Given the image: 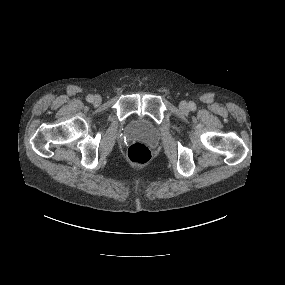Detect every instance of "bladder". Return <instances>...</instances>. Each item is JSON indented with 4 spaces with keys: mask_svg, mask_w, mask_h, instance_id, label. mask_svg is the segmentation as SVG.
Returning a JSON list of instances; mask_svg holds the SVG:
<instances>
[{
    "mask_svg": "<svg viewBox=\"0 0 285 285\" xmlns=\"http://www.w3.org/2000/svg\"><path fill=\"white\" fill-rule=\"evenodd\" d=\"M135 132L137 133L138 136L144 138L145 140H151L152 138L155 137V132L152 131L149 128L142 127V126H136L134 128Z\"/></svg>",
    "mask_w": 285,
    "mask_h": 285,
    "instance_id": "1",
    "label": "bladder"
}]
</instances>
